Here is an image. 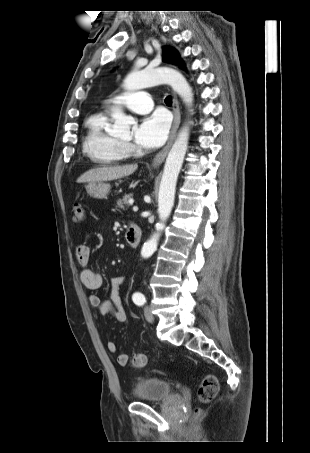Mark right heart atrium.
I'll list each match as a JSON object with an SVG mask.
<instances>
[{
	"instance_id": "obj_1",
	"label": "right heart atrium",
	"mask_w": 310,
	"mask_h": 453,
	"mask_svg": "<svg viewBox=\"0 0 310 453\" xmlns=\"http://www.w3.org/2000/svg\"><path fill=\"white\" fill-rule=\"evenodd\" d=\"M125 149L127 151H131L132 150V146L130 144H125Z\"/></svg>"
}]
</instances>
